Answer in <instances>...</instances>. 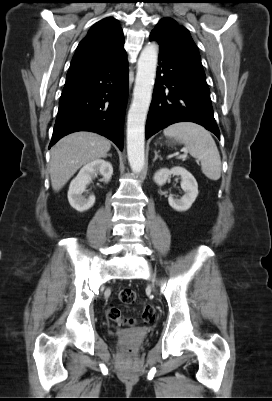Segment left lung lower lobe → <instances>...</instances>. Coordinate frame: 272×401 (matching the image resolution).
Instances as JSON below:
<instances>
[{"label": "left lung lower lobe", "mask_w": 272, "mask_h": 401, "mask_svg": "<svg viewBox=\"0 0 272 401\" xmlns=\"http://www.w3.org/2000/svg\"><path fill=\"white\" fill-rule=\"evenodd\" d=\"M150 40L158 42L152 35ZM159 45V66L146 138L173 123L190 121L204 126L220 139L202 64Z\"/></svg>", "instance_id": "0a47b994"}]
</instances>
